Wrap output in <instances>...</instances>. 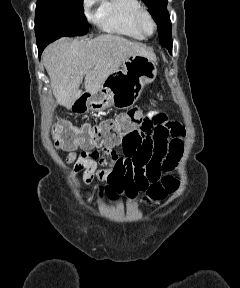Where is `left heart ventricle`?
I'll use <instances>...</instances> for the list:
<instances>
[{
	"label": "left heart ventricle",
	"instance_id": "left-heart-ventricle-1",
	"mask_svg": "<svg viewBox=\"0 0 240 288\" xmlns=\"http://www.w3.org/2000/svg\"><path fill=\"white\" fill-rule=\"evenodd\" d=\"M142 29L145 33H151L153 31V24L148 17H143L141 21Z\"/></svg>",
	"mask_w": 240,
	"mask_h": 288
}]
</instances>
